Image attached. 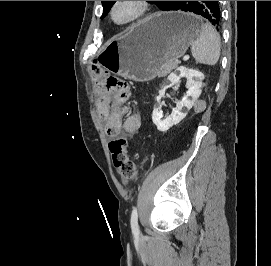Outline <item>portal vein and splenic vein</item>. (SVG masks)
Returning <instances> with one entry per match:
<instances>
[{
	"label": "portal vein and splenic vein",
	"instance_id": "portal-vein-and-splenic-vein-1",
	"mask_svg": "<svg viewBox=\"0 0 271 266\" xmlns=\"http://www.w3.org/2000/svg\"><path fill=\"white\" fill-rule=\"evenodd\" d=\"M188 59H189V55L186 54L183 56V61H187Z\"/></svg>",
	"mask_w": 271,
	"mask_h": 266
}]
</instances>
